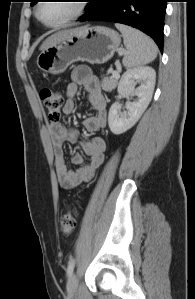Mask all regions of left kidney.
I'll use <instances>...</instances> for the list:
<instances>
[{
	"label": "left kidney",
	"mask_w": 195,
	"mask_h": 299,
	"mask_svg": "<svg viewBox=\"0 0 195 299\" xmlns=\"http://www.w3.org/2000/svg\"><path fill=\"white\" fill-rule=\"evenodd\" d=\"M135 81L140 86L135 88ZM156 81V72L151 67H138L127 70L118 84L119 94H132L137 100L126 103V111L121 112V105L115 102L109 109L108 124L115 135L122 134L132 128L148 107Z\"/></svg>",
	"instance_id": "5707ae66"
}]
</instances>
